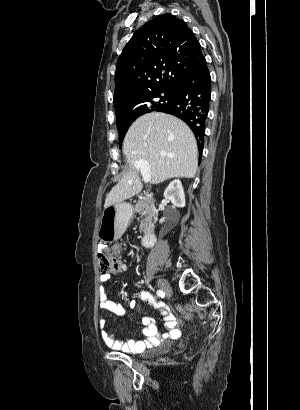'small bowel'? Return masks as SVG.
I'll list each match as a JSON object with an SVG mask.
<instances>
[{"instance_id": "c3829d8e", "label": "small bowel", "mask_w": 300, "mask_h": 410, "mask_svg": "<svg viewBox=\"0 0 300 410\" xmlns=\"http://www.w3.org/2000/svg\"><path fill=\"white\" fill-rule=\"evenodd\" d=\"M109 279L110 276L108 274L100 275V282L102 284L107 282ZM132 299L147 301L155 310L161 313L164 319L163 332L161 334L158 332L152 318L145 317L141 321V336L145 339L128 340L123 342L117 340L115 336L106 329V320L104 318H100L98 322L100 335L108 347L123 353H138L144 351L146 348L156 346L161 339L173 337L179 331V324L166 304L155 301L149 293L143 291L134 295ZM99 306L101 309L114 315H122L126 311L125 307L121 303L109 300L107 298L102 285L99 293Z\"/></svg>"}]
</instances>
